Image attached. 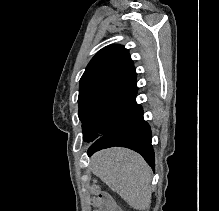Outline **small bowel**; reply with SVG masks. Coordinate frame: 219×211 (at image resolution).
I'll list each match as a JSON object with an SVG mask.
<instances>
[{
	"label": "small bowel",
	"instance_id": "c3829d8e",
	"mask_svg": "<svg viewBox=\"0 0 219 211\" xmlns=\"http://www.w3.org/2000/svg\"><path fill=\"white\" fill-rule=\"evenodd\" d=\"M95 211H122V210L116 205L113 198L109 194L103 193L98 203V209Z\"/></svg>",
	"mask_w": 219,
	"mask_h": 211
}]
</instances>
